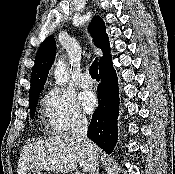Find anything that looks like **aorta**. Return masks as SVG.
Segmentation results:
<instances>
[{
	"label": "aorta",
	"instance_id": "762f6f07",
	"mask_svg": "<svg viewBox=\"0 0 175 174\" xmlns=\"http://www.w3.org/2000/svg\"><path fill=\"white\" fill-rule=\"evenodd\" d=\"M68 76L69 74L65 64L63 63V61L59 60L54 70V78H55L56 84L58 85L66 84L68 81Z\"/></svg>",
	"mask_w": 175,
	"mask_h": 174
}]
</instances>
